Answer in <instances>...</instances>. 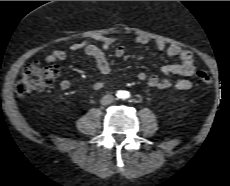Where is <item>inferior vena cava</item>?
<instances>
[{
    "mask_svg": "<svg viewBox=\"0 0 230 186\" xmlns=\"http://www.w3.org/2000/svg\"><path fill=\"white\" fill-rule=\"evenodd\" d=\"M113 100H114L113 95L108 94V95H105V96H103V97L101 98L100 103H101L102 105H108V104H111V103L113 102Z\"/></svg>",
    "mask_w": 230,
    "mask_h": 186,
    "instance_id": "1",
    "label": "inferior vena cava"
}]
</instances>
